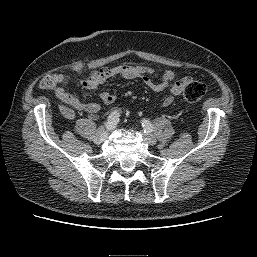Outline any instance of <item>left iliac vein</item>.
I'll return each instance as SVG.
<instances>
[{"mask_svg":"<svg viewBox=\"0 0 257 257\" xmlns=\"http://www.w3.org/2000/svg\"><path fill=\"white\" fill-rule=\"evenodd\" d=\"M143 138L146 141V143L150 146L154 145L156 143V138L149 132H142Z\"/></svg>","mask_w":257,"mask_h":257,"instance_id":"4c4485c4","label":"left iliac vein"}]
</instances>
